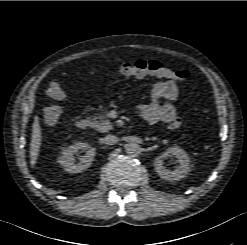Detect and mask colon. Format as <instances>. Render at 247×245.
I'll list each match as a JSON object with an SVG mask.
<instances>
[{
    "mask_svg": "<svg viewBox=\"0 0 247 245\" xmlns=\"http://www.w3.org/2000/svg\"><path fill=\"white\" fill-rule=\"evenodd\" d=\"M119 72L123 77H144L153 75L157 77L175 79L184 81L188 79L189 72L185 69L172 70L155 59H140L133 63H126L120 66ZM47 94L54 100L60 101L65 97L63 88L56 82L49 84ZM62 106L59 104L50 105L44 108L43 118L48 124H55L60 120L62 114ZM182 125L179 118L172 120L168 126L170 129H178Z\"/></svg>",
    "mask_w": 247,
    "mask_h": 245,
    "instance_id": "5ec220e1",
    "label": "colon"
}]
</instances>
